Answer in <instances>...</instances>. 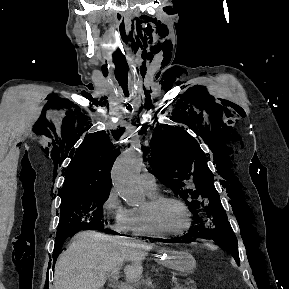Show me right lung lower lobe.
Wrapping results in <instances>:
<instances>
[{"label": "right lung lower lobe", "mask_w": 289, "mask_h": 289, "mask_svg": "<svg viewBox=\"0 0 289 289\" xmlns=\"http://www.w3.org/2000/svg\"><path fill=\"white\" fill-rule=\"evenodd\" d=\"M103 232H107V233H110V234H118L116 232H112V231H106V230H103ZM75 234V233H74ZM73 235V234H72ZM70 235V236H72ZM69 237V236H68ZM67 238V237H66ZM65 237H56V244H55V247H54V252H53V257H54V261H56L59 253H60V249H61V246H62V243L63 241L66 239Z\"/></svg>", "instance_id": "98d812e1"}]
</instances>
